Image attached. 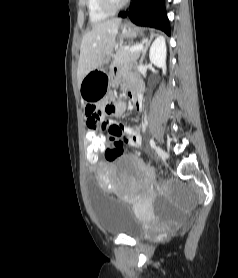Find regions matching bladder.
I'll use <instances>...</instances> for the list:
<instances>
[{"instance_id":"31cf9c89","label":"bladder","mask_w":238,"mask_h":278,"mask_svg":"<svg viewBox=\"0 0 238 278\" xmlns=\"http://www.w3.org/2000/svg\"><path fill=\"white\" fill-rule=\"evenodd\" d=\"M88 180H95V175H88ZM92 208L101 230L109 235H123L140 239L148 233L146 223L135 214L131 204L113 197L97 186V181H87Z\"/></svg>"}]
</instances>
